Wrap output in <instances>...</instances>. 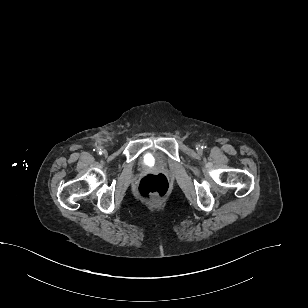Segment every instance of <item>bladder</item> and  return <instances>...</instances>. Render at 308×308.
<instances>
[{"instance_id": "1", "label": "bladder", "mask_w": 308, "mask_h": 308, "mask_svg": "<svg viewBox=\"0 0 308 308\" xmlns=\"http://www.w3.org/2000/svg\"><path fill=\"white\" fill-rule=\"evenodd\" d=\"M147 160H152V158H148Z\"/></svg>"}]
</instances>
